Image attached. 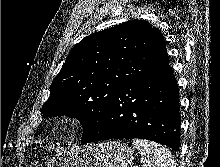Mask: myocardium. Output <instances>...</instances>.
Returning <instances> with one entry per match:
<instances>
[{
    "label": "myocardium",
    "instance_id": "myocardium-1",
    "mask_svg": "<svg viewBox=\"0 0 220 167\" xmlns=\"http://www.w3.org/2000/svg\"><path fill=\"white\" fill-rule=\"evenodd\" d=\"M82 127L81 121L75 116H64L60 118L56 125V133L62 138L74 137Z\"/></svg>",
    "mask_w": 220,
    "mask_h": 167
}]
</instances>
